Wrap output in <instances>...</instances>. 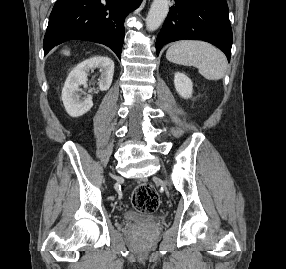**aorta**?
I'll use <instances>...</instances> for the list:
<instances>
[{"mask_svg":"<svg viewBox=\"0 0 286 269\" xmlns=\"http://www.w3.org/2000/svg\"><path fill=\"white\" fill-rule=\"evenodd\" d=\"M169 0H153L146 18L148 31L157 30L169 12Z\"/></svg>","mask_w":286,"mask_h":269,"instance_id":"1","label":"aorta"}]
</instances>
